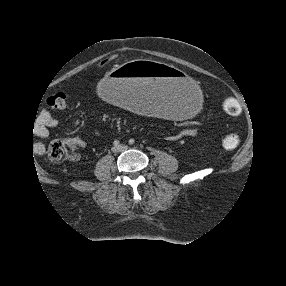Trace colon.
<instances>
[{"instance_id": "5ec220e1", "label": "colon", "mask_w": 286, "mask_h": 286, "mask_svg": "<svg viewBox=\"0 0 286 286\" xmlns=\"http://www.w3.org/2000/svg\"><path fill=\"white\" fill-rule=\"evenodd\" d=\"M106 60L102 63L103 67L108 65ZM67 103V95L65 92H58L50 96L47 100L48 106L53 110H62ZM222 109L230 116L238 117L242 113V106L238 100L234 98H226L222 101ZM241 138L237 133L231 132L226 134L222 139V145L227 150H234L239 147ZM48 157L55 162L63 161L68 157V149L66 145L60 141H53L47 149Z\"/></svg>"}]
</instances>
